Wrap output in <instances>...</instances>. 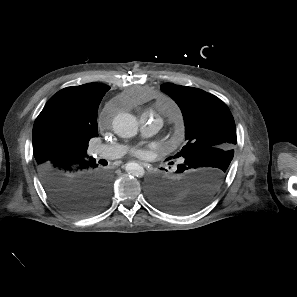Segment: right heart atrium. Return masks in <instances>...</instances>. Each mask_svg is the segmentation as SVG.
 Listing matches in <instances>:
<instances>
[{
	"mask_svg": "<svg viewBox=\"0 0 297 297\" xmlns=\"http://www.w3.org/2000/svg\"><path fill=\"white\" fill-rule=\"evenodd\" d=\"M108 111H109V109L107 108V110H106V114H108Z\"/></svg>",
	"mask_w": 297,
	"mask_h": 297,
	"instance_id": "d8ad5b80",
	"label": "right heart atrium"
}]
</instances>
